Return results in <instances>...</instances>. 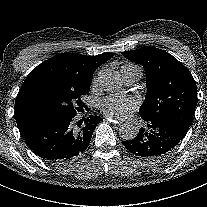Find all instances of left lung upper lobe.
<instances>
[{"mask_svg":"<svg viewBox=\"0 0 207 207\" xmlns=\"http://www.w3.org/2000/svg\"><path fill=\"white\" fill-rule=\"evenodd\" d=\"M146 72L147 96L139 112L145 120L167 119L188 131L197 104L196 82L174 56L154 47L122 52Z\"/></svg>","mask_w":207,"mask_h":207,"instance_id":"obj_1","label":"left lung upper lobe"}]
</instances>
